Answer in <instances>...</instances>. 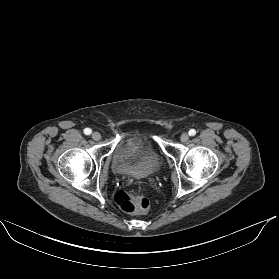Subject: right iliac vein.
I'll return each instance as SVG.
<instances>
[{"mask_svg": "<svg viewBox=\"0 0 279 279\" xmlns=\"http://www.w3.org/2000/svg\"><path fill=\"white\" fill-rule=\"evenodd\" d=\"M92 138H93V140L98 141L101 139V134L99 132H94L92 134Z\"/></svg>", "mask_w": 279, "mask_h": 279, "instance_id": "obj_1", "label": "right iliac vein"}]
</instances>
